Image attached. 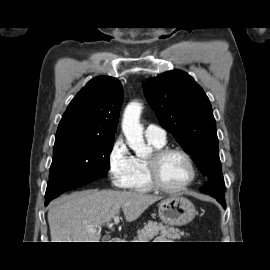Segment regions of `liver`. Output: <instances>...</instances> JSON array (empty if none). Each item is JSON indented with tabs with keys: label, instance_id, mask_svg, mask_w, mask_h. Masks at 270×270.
<instances>
[{
	"label": "liver",
	"instance_id": "1",
	"mask_svg": "<svg viewBox=\"0 0 270 270\" xmlns=\"http://www.w3.org/2000/svg\"><path fill=\"white\" fill-rule=\"evenodd\" d=\"M161 197L137 191L86 190L61 197L48 211L51 242H99L101 227L120 209L136 220Z\"/></svg>",
	"mask_w": 270,
	"mask_h": 270
}]
</instances>
